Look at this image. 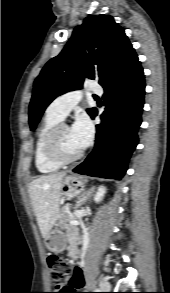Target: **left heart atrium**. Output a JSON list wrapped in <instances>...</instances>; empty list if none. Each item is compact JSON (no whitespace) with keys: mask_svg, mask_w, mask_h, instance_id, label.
<instances>
[{"mask_svg":"<svg viewBox=\"0 0 170 293\" xmlns=\"http://www.w3.org/2000/svg\"><path fill=\"white\" fill-rule=\"evenodd\" d=\"M71 135L79 148L88 145L92 137V125L87 117L78 118L70 128Z\"/></svg>","mask_w":170,"mask_h":293,"instance_id":"39dd6f15","label":"left heart atrium"}]
</instances>
